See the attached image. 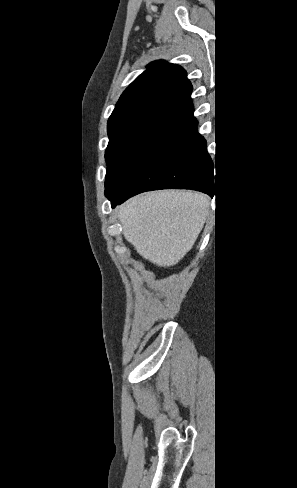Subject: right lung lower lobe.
<instances>
[{
	"mask_svg": "<svg viewBox=\"0 0 297 488\" xmlns=\"http://www.w3.org/2000/svg\"><path fill=\"white\" fill-rule=\"evenodd\" d=\"M158 189H191L213 197L212 161L197 121L166 140L129 189L110 200L112 208L136 194Z\"/></svg>",
	"mask_w": 297,
	"mask_h": 488,
	"instance_id": "right-lung-lower-lobe-1",
	"label": "right lung lower lobe"
}]
</instances>
